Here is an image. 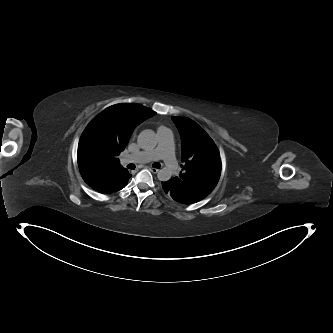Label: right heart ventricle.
<instances>
[{"mask_svg":"<svg viewBox=\"0 0 333 333\" xmlns=\"http://www.w3.org/2000/svg\"><path fill=\"white\" fill-rule=\"evenodd\" d=\"M161 128H163V126H160V127L158 128V130L161 129Z\"/></svg>","mask_w":333,"mask_h":333,"instance_id":"obj_1","label":"right heart ventricle"}]
</instances>
